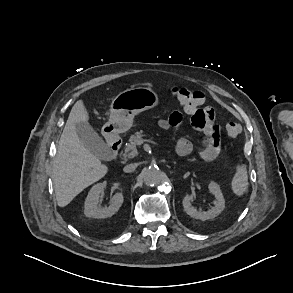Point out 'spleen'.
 Returning a JSON list of instances; mask_svg holds the SVG:
<instances>
[{"mask_svg": "<svg viewBox=\"0 0 293 293\" xmlns=\"http://www.w3.org/2000/svg\"><path fill=\"white\" fill-rule=\"evenodd\" d=\"M231 188L234 194L242 196L248 189V175L245 165H239L231 182Z\"/></svg>", "mask_w": 293, "mask_h": 293, "instance_id": "spleen-1", "label": "spleen"}]
</instances>
